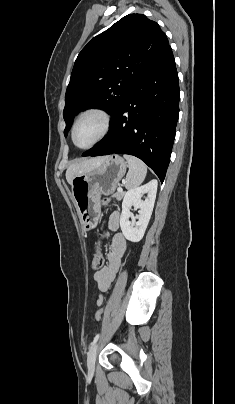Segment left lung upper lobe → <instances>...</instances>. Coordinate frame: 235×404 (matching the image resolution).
Segmentation results:
<instances>
[{
  "instance_id": "5c2ea615",
  "label": "left lung upper lobe",
  "mask_w": 235,
  "mask_h": 404,
  "mask_svg": "<svg viewBox=\"0 0 235 404\" xmlns=\"http://www.w3.org/2000/svg\"><path fill=\"white\" fill-rule=\"evenodd\" d=\"M168 46L159 25L143 14L126 15L94 37L79 53L71 73L63 111L64 135L74 115L86 108L103 109L113 119L134 84Z\"/></svg>"
}]
</instances>
